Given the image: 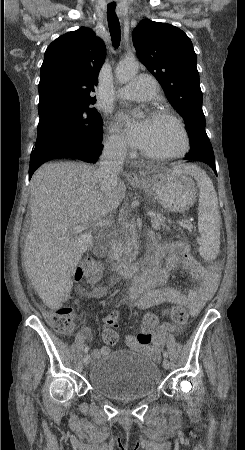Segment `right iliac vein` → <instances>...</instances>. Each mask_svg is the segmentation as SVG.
Returning <instances> with one entry per match:
<instances>
[{
    "mask_svg": "<svg viewBox=\"0 0 245 450\" xmlns=\"http://www.w3.org/2000/svg\"><path fill=\"white\" fill-rule=\"evenodd\" d=\"M89 362H90V355L86 354L83 358V363L85 366H87L89 364Z\"/></svg>",
    "mask_w": 245,
    "mask_h": 450,
    "instance_id": "right-iliac-vein-1",
    "label": "right iliac vein"
}]
</instances>
